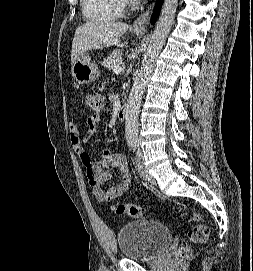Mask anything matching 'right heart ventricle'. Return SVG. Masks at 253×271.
Returning <instances> with one entry per match:
<instances>
[{
	"label": "right heart ventricle",
	"mask_w": 253,
	"mask_h": 271,
	"mask_svg": "<svg viewBox=\"0 0 253 271\" xmlns=\"http://www.w3.org/2000/svg\"><path fill=\"white\" fill-rule=\"evenodd\" d=\"M83 16L90 22L100 23L119 19L123 14V0H81Z\"/></svg>",
	"instance_id": "obj_1"
}]
</instances>
